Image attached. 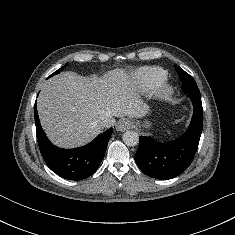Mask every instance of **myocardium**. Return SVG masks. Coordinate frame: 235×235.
<instances>
[{"label":"myocardium","mask_w":235,"mask_h":235,"mask_svg":"<svg viewBox=\"0 0 235 235\" xmlns=\"http://www.w3.org/2000/svg\"><path fill=\"white\" fill-rule=\"evenodd\" d=\"M173 91V86L165 79L154 88V96L158 99H166L172 95Z\"/></svg>","instance_id":"1"}]
</instances>
